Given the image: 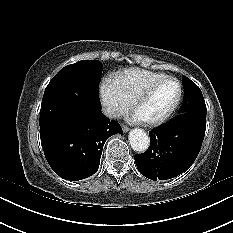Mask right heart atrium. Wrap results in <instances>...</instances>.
Instances as JSON below:
<instances>
[{"label": "right heart atrium", "mask_w": 233, "mask_h": 233, "mask_svg": "<svg viewBox=\"0 0 233 233\" xmlns=\"http://www.w3.org/2000/svg\"><path fill=\"white\" fill-rule=\"evenodd\" d=\"M100 95L104 112L111 118L123 115L130 108V99L121 92L115 81L110 77L102 80Z\"/></svg>", "instance_id": "1"}]
</instances>
